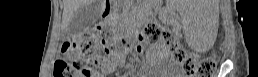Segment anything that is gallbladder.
<instances>
[{
    "label": "gallbladder",
    "instance_id": "obj_1",
    "mask_svg": "<svg viewBox=\"0 0 258 77\" xmlns=\"http://www.w3.org/2000/svg\"><path fill=\"white\" fill-rule=\"evenodd\" d=\"M102 11L99 1L94 0L90 4L80 8L73 16L68 31L70 34L75 35L83 32L93 25L99 18Z\"/></svg>",
    "mask_w": 258,
    "mask_h": 77
}]
</instances>
